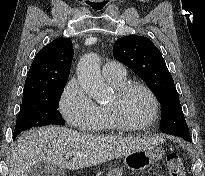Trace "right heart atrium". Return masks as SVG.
Returning a JSON list of instances; mask_svg holds the SVG:
<instances>
[{
    "instance_id": "d8ad5b80",
    "label": "right heart atrium",
    "mask_w": 205,
    "mask_h": 176,
    "mask_svg": "<svg viewBox=\"0 0 205 176\" xmlns=\"http://www.w3.org/2000/svg\"><path fill=\"white\" fill-rule=\"evenodd\" d=\"M58 106L65 121L77 130H89L98 117V106L75 78L65 85Z\"/></svg>"
}]
</instances>
